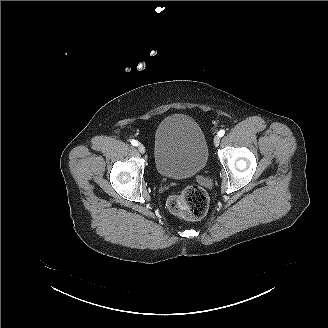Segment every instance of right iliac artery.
<instances>
[{"instance_id": "right-iliac-artery-1", "label": "right iliac artery", "mask_w": 328, "mask_h": 328, "mask_svg": "<svg viewBox=\"0 0 328 328\" xmlns=\"http://www.w3.org/2000/svg\"><path fill=\"white\" fill-rule=\"evenodd\" d=\"M131 144H132L133 146H137V145H138V141H137V140H132V141H131Z\"/></svg>"}]
</instances>
